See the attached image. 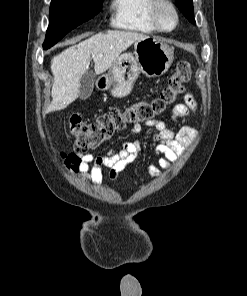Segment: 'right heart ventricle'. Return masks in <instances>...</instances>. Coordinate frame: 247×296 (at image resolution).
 Masks as SVG:
<instances>
[{
	"label": "right heart ventricle",
	"instance_id": "e07e8e85",
	"mask_svg": "<svg viewBox=\"0 0 247 296\" xmlns=\"http://www.w3.org/2000/svg\"><path fill=\"white\" fill-rule=\"evenodd\" d=\"M153 2L154 0H112V25L143 34L158 32L151 18Z\"/></svg>",
	"mask_w": 247,
	"mask_h": 296
}]
</instances>
